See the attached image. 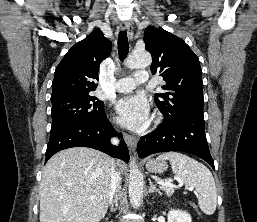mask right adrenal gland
Returning <instances> with one entry per match:
<instances>
[{"label":"right adrenal gland","mask_w":257,"mask_h":222,"mask_svg":"<svg viewBox=\"0 0 257 222\" xmlns=\"http://www.w3.org/2000/svg\"><path fill=\"white\" fill-rule=\"evenodd\" d=\"M117 201H118V198L115 199V202H114L115 206H117ZM113 210H114V208L111 209V211H113Z\"/></svg>","instance_id":"1"}]
</instances>
